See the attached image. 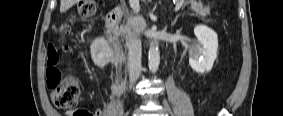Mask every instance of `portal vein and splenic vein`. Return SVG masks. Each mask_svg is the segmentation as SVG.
<instances>
[{
	"mask_svg": "<svg viewBox=\"0 0 283 116\" xmlns=\"http://www.w3.org/2000/svg\"><path fill=\"white\" fill-rule=\"evenodd\" d=\"M130 4H131V7H132V9L134 10V12H135V13H138L139 10H140L138 1H137V0H130ZM181 6H182V2L179 3V4H177V5L175 6V11H176V12L179 11L180 8H181Z\"/></svg>",
	"mask_w": 283,
	"mask_h": 116,
	"instance_id": "obj_1",
	"label": "portal vein and splenic vein"
}]
</instances>
